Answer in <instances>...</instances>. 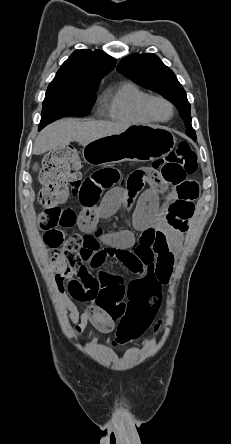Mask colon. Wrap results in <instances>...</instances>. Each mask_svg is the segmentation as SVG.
<instances>
[{"label":"colon","instance_id":"5ec220e1","mask_svg":"<svg viewBox=\"0 0 231 444\" xmlns=\"http://www.w3.org/2000/svg\"><path fill=\"white\" fill-rule=\"evenodd\" d=\"M197 169L196 155L187 142L168 156L154 161L149 168L137 169L127 178L135 180L154 171L168 184L181 189L187 184L186 177ZM40 190L38 200L44 207L39 215V227L47 231L65 230L75 224L74 214L61 204L67 198L69 186L78 195L83 180L78 171L77 152L73 147H65L49 152L43 160L40 173ZM194 211L193 204L184 201L176 202L170 209L171 225L182 233L187 230L188 220ZM69 270L82 266V259L77 253L66 252ZM66 286L72 297L83 296V287L73 275L67 278ZM162 299L161 286L152 283L150 287L129 299L126 310L120 318L114 344H124L139 338L152 324Z\"/></svg>","mask_w":231,"mask_h":444}]
</instances>
